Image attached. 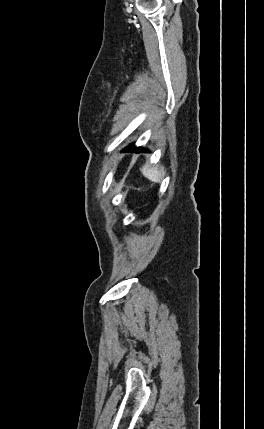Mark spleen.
<instances>
[{
	"instance_id": "spleen-1",
	"label": "spleen",
	"mask_w": 264,
	"mask_h": 429,
	"mask_svg": "<svg viewBox=\"0 0 264 429\" xmlns=\"http://www.w3.org/2000/svg\"><path fill=\"white\" fill-rule=\"evenodd\" d=\"M140 170L146 178L156 183L160 182L164 175V171L158 166L149 167L146 165Z\"/></svg>"
}]
</instances>
